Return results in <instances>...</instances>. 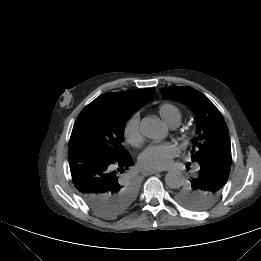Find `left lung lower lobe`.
Segmentation results:
<instances>
[{
    "mask_svg": "<svg viewBox=\"0 0 261 261\" xmlns=\"http://www.w3.org/2000/svg\"><path fill=\"white\" fill-rule=\"evenodd\" d=\"M211 160H202L199 162L200 170L198 176L191 181L193 186L201 188L206 193L216 192L217 187L224 185L227 182L231 161L223 167H216L215 164L207 162ZM215 183L216 185L210 184Z\"/></svg>",
    "mask_w": 261,
    "mask_h": 261,
    "instance_id": "0a47b994",
    "label": "left lung lower lobe"
}]
</instances>
